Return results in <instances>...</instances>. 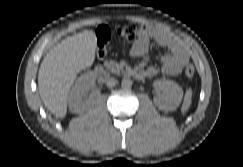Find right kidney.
<instances>
[{
  "label": "right kidney",
  "instance_id": "right-kidney-1",
  "mask_svg": "<svg viewBox=\"0 0 243 167\" xmlns=\"http://www.w3.org/2000/svg\"><path fill=\"white\" fill-rule=\"evenodd\" d=\"M95 83V76L92 72L81 75L68 96V106L72 113H80L84 111L90 104L86 103L85 94Z\"/></svg>",
  "mask_w": 243,
  "mask_h": 167
}]
</instances>
